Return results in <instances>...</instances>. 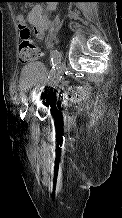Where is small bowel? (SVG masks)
I'll use <instances>...</instances> for the list:
<instances>
[{
    "instance_id": "1",
    "label": "small bowel",
    "mask_w": 122,
    "mask_h": 218,
    "mask_svg": "<svg viewBox=\"0 0 122 218\" xmlns=\"http://www.w3.org/2000/svg\"><path fill=\"white\" fill-rule=\"evenodd\" d=\"M56 9L55 4L52 1H47L45 8L37 4L31 8L27 15V21L33 26L37 39L42 40L46 30L51 25V19L48 18L47 12L54 11ZM19 24L25 22L23 15H18ZM43 53L38 51V56L42 57Z\"/></svg>"
}]
</instances>
